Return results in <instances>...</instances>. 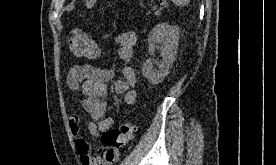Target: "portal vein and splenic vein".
Here are the masks:
<instances>
[{"instance_id":"portal-vein-and-splenic-vein-1","label":"portal vein and splenic vein","mask_w":276,"mask_h":165,"mask_svg":"<svg viewBox=\"0 0 276 165\" xmlns=\"http://www.w3.org/2000/svg\"><path fill=\"white\" fill-rule=\"evenodd\" d=\"M159 13V11H156V14H158Z\"/></svg>"}]
</instances>
